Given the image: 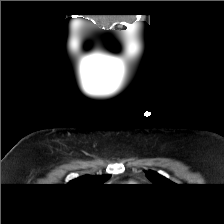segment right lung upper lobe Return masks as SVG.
I'll use <instances>...</instances> for the list:
<instances>
[{"mask_svg": "<svg viewBox=\"0 0 224 224\" xmlns=\"http://www.w3.org/2000/svg\"><path fill=\"white\" fill-rule=\"evenodd\" d=\"M109 177L110 175H102V176L85 175L70 181L69 184L77 186H90V185L103 184L106 180L109 179Z\"/></svg>", "mask_w": 224, "mask_h": 224, "instance_id": "1", "label": "right lung upper lobe"}]
</instances>
